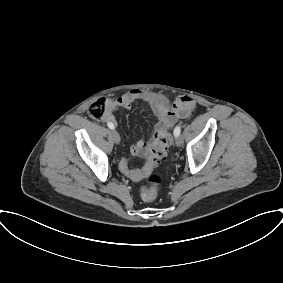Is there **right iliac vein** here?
I'll return each mask as SVG.
<instances>
[{"mask_svg":"<svg viewBox=\"0 0 283 283\" xmlns=\"http://www.w3.org/2000/svg\"><path fill=\"white\" fill-rule=\"evenodd\" d=\"M112 138H113V141L116 144L120 143V135H119V133L117 131H115V130L112 131Z\"/></svg>","mask_w":283,"mask_h":283,"instance_id":"obj_1","label":"right iliac vein"}]
</instances>
